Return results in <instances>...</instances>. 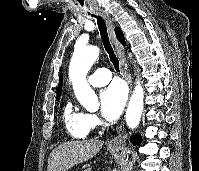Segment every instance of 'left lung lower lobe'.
<instances>
[{
	"instance_id": "obj_1",
	"label": "left lung lower lobe",
	"mask_w": 199,
	"mask_h": 171,
	"mask_svg": "<svg viewBox=\"0 0 199 171\" xmlns=\"http://www.w3.org/2000/svg\"><path fill=\"white\" fill-rule=\"evenodd\" d=\"M130 140H131L133 145H140L142 139H141L140 135H135V136H132L130 138Z\"/></svg>"
}]
</instances>
